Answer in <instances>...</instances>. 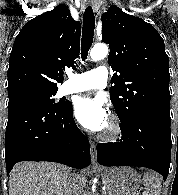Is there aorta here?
<instances>
[{
	"mask_svg": "<svg viewBox=\"0 0 178 195\" xmlns=\"http://www.w3.org/2000/svg\"><path fill=\"white\" fill-rule=\"evenodd\" d=\"M108 46L106 44H96L90 51V57L93 61L104 59L108 55Z\"/></svg>",
	"mask_w": 178,
	"mask_h": 195,
	"instance_id": "aorta-1",
	"label": "aorta"
}]
</instances>
